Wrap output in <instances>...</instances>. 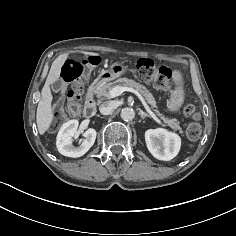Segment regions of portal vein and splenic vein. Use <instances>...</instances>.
I'll list each match as a JSON object with an SVG mask.
<instances>
[{
  "label": "portal vein and splenic vein",
  "instance_id": "obj_1",
  "mask_svg": "<svg viewBox=\"0 0 236 236\" xmlns=\"http://www.w3.org/2000/svg\"><path fill=\"white\" fill-rule=\"evenodd\" d=\"M124 91H129L134 93L139 100L141 101V103L143 104L145 110L150 114V116L159 124H161V121L157 118V116L154 114V112L150 109V107L148 106V104L146 103L145 99L142 97V95L135 89L130 88V87H120V86H116L114 88H112L109 91V94L111 97H117L120 96Z\"/></svg>",
  "mask_w": 236,
  "mask_h": 236
}]
</instances>
